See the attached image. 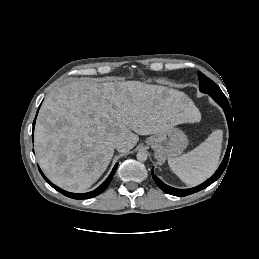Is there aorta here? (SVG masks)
<instances>
[{
    "mask_svg": "<svg viewBox=\"0 0 259 259\" xmlns=\"http://www.w3.org/2000/svg\"><path fill=\"white\" fill-rule=\"evenodd\" d=\"M136 157L138 161L144 162L147 160L148 154L145 151H139Z\"/></svg>",
    "mask_w": 259,
    "mask_h": 259,
    "instance_id": "obj_1",
    "label": "aorta"
}]
</instances>
